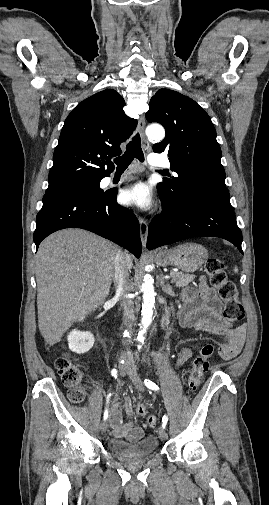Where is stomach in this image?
<instances>
[{
    "instance_id": "0dacf381",
    "label": "stomach",
    "mask_w": 269,
    "mask_h": 505,
    "mask_svg": "<svg viewBox=\"0 0 269 505\" xmlns=\"http://www.w3.org/2000/svg\"><path fill=\"white\" fill-rule=\"evenodd\" d=\"M208 258L207 249L197 243H184L171 249H159L154 260L159 266H175L183 272L198 270Z\"/></svg>"
}]
</instances>
